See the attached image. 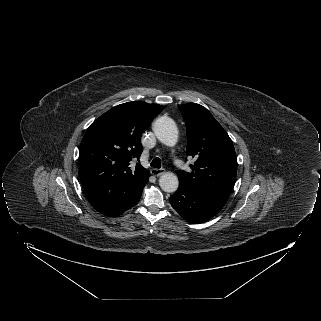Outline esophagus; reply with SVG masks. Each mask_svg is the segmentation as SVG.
I'll use <instances>...</instances> for the list:
<instances>
[{
  "instance_id": "34e87169",
  "label": "esophagus",
  "mask_w": 321,
  "mask_h": 321,
  "mask_svg": "<svg viewBox=\"0 0 321 321\" xmlns=\"http://www.w3.org/2000/svg\"><path fill=\"white\" fill-rule=\"evenodd\" d=\"M165 173V169L161 168V169H157V168H153L151 170V174L155 175V176H160L162 174Z\"/></svg>"
}]
</instances>
